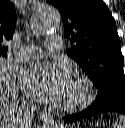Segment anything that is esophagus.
<instances>
[{
	"instance_id": "1",
	"label": "esophagus",
	"mask_w": 125,
	"mask_h": 128,
	"mask_svg": "<svg viewBox=\"0 0 125 128\" xmlns=\"http://www.w3.org/2000/svg\"><path fill=\"white\" fill-rule=\"evenodd\" d=\"M40 120L42 122H47V121H51V114H49L48 112L46 111H42L40 113Z\"/></svg>"
}]
</instances>
